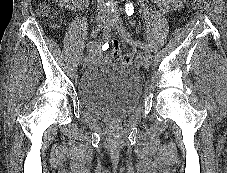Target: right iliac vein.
<instances>
[{"label": "right iliac vein", "instance_id": "right-iliac-vein-1", "mask_svg": "<svg viewBox=\"0 0 227 173\" xmlns=\"http://www.w3.org/2000/svg\"><path fill=\"white\" fill-rule=\"evenodd\" d=\"M108 25H109V18L107 17V15H105L103 13H99L97 15V31L104 30L105 27H107ZM81 63H82L83 67H87L89 64V58L84 57L81 60Z\"/></svg>", "mask_w": 227, "mask_h": 173}]
</instances>
